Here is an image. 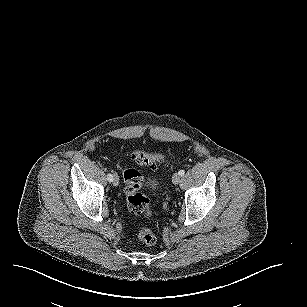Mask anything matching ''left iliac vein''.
<instances>
[{
  "mask_svg": "<svg viewBox=\"0 0 307 307\" xmlns=\"http://www.w3.org/2000/svg\"><path fill=\"white\" fill-rule=\"evenodd\" d=\"M181 181V175L179 173H175L172 177V182L175 184V185H178Z\"/></svg>",
  "mask_w": 307,
  "mask_h": 307,
  "instance_id": "obj_1",
  "label": "left iliac vein"
}]
</instances>
